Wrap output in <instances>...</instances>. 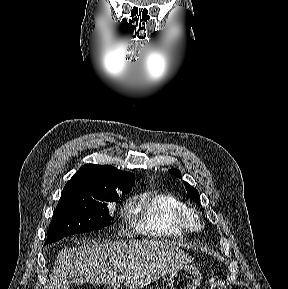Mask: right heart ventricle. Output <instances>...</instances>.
Masks as SVG:
<instances>
[{"instance_id":"e07e8e85","label":"right heart ventricle","mask_w":288,"mask_h":289,"mask_svg":"<svg viewBox=\"0 0 288 289\" xmlns=\"http://www.w3.org/2000/svg\"><path fill=\"white\" fill-rule=\"evenodd\" d=\"M188 208L187 203L173 193L145 192L134 207L135 214L140 216L138 230L158 239L183 238L190 231L184 219Z\"/></svg>"}]
</instances>
